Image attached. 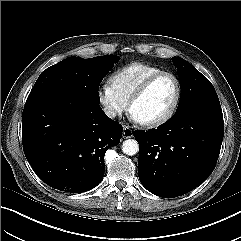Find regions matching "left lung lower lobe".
Listing matches in <instances>:
<instances>
[{
  "instance_id": "1",
  "label": "left lung lower lobe",
  "mask_w": 241,
  "mask_h": 241,
  "mask_svg": "<svg viewBox=\"0 0 241 241\" xmlns=\"http://www.w3.org/2000/svg\"><path fill=\"white\" fill-rule=\"evenodd\" d=\"M223 136L221 107L209 105L180 110L155 130L135 131L141 184L163 198L190 192L214 170Z\"/></svg>"
}]
</instances>
